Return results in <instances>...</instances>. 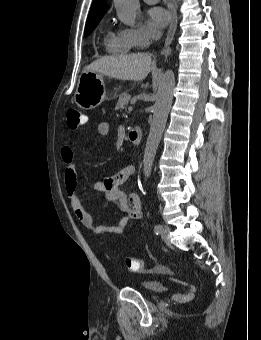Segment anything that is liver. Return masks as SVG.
Here are the masks:
<instances>
[{"mask_svg":"<svg viewBox=\"0 0 261 340\" xmlns=\"http://www.w3.org/2000/svg\"><path fill=\"white\" fill-rule=\"evenodd\" d=\"M151 70V56L136 53L122 56H103L83 71H91L120 80L140 81L145 79Z\"/></svg>","mask_w":261,"mask_h":340,"instance_id":"obj_1","label":"liver"}]
</instances>
